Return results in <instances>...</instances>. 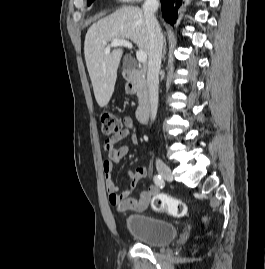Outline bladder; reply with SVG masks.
Masks as SVG:
<instances>
[{"label": "bladder", "instance_id": "obj_1", "mask_svg": "<svg viewBox=\"0 0 265 269\" xmlns=\"http://www.w3.org/2000/svg\"><path fill=\"white\" fill-rule=\"evenodd\" d=\"M127 232L140 243L161 247L171 243L177 236L174 224L143 214H131L125 218Z\"/></svg>", "mask_w": 265, "mask_h": 269}]
</instances>
